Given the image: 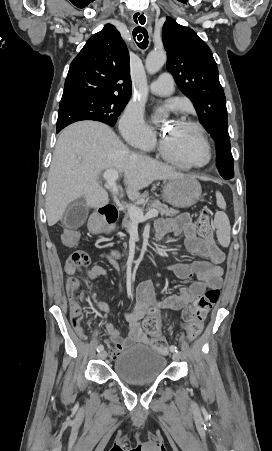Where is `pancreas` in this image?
Instances as JSON below:
<instances>
[{
    "mask_svg": "<svg viewBox=\"0 0 272 451\" xmlns=\"http://www.w3.org/2000/svg\"><path fill=\"white\" fill-rule=\"evenodd\" d=\"M148 198V194H142L140 198H137V200H146ZM142 204H137V208L139 210H142V212H147V210H158L159 214L161 216H175V214H179L177 210H173V208H168L166 204H161L159 200H154V202H151V204H147L148 208L144 210V208H140ZM134 222H132L129 214H125V218H123L122 227H126V231H129L130 227L133 226ZM126 247V245H125Z\"/></svg>",
    "mask_w": 272,
    "mask_h": 451,
    "instance_id": "pancreas-1",
    "label": "pancreas"
}]
</instances>
